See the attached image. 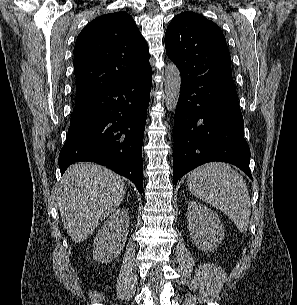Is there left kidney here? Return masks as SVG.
Segmentation results:
<instances>
[{
  "instance_id": "obj_1",
  "label": "left kidney",
  "mask_w": 297,
  "mask_h": 305,
  "mask_svg": "<svg viewBox=\"0 0 297 305\" xmlns=\"http://www.w3.org/2000/svg\"><path fill=\"white\" fill-rule=\"evenodd\" d=\"M188 229L198 249L211 251L217 248L224 238V227L217 216L207 206L197 201L188 203Z\"/></svg>"
}]
</instances>
